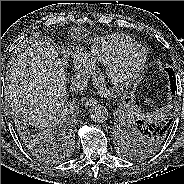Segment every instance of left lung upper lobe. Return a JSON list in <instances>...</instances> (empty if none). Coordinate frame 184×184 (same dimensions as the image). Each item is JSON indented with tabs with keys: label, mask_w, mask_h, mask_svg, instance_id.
<instances>
[{
	"label": "left lung upper lobe",
	"mask_w": 184,
	"mask_h": 184,
	"mask_svg": "<svg viewBox=\"0 0 184 184\" xmlns=\"http://www.w3.org/2000/svg\"><path fill=\"white\" fill-rule=\"evenodd\" d=\"M131 130V150L136 154H147L158 148L166 138L160 137L152 131H148L147 122L136 121Z\"/></svg>",
	"instance_id": "left-lung-upper-lobe-1"
}]
</instances>
